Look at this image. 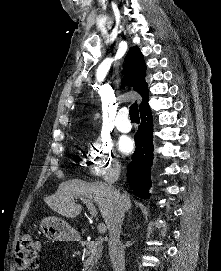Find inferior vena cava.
<instances>
[{
	"label": "inferior vena cava",
	"mask_w": 221,
	"mask_h": 271,
	"mask_svg": "<svg viewBox=\"0 0 221 271\" xmlns=\"http://www.w3.org/2000/svg\"><path fill=\"white\" fill-rule=\"evenodd\" d=\"M117 167H120V165H117ZM107 185L109 189H112L114 195H116L111 221L108 225L110 261L114 271H125V251L120 241V235L125 215L126 195L120 193L119 189H115L114 185H110V183H107Z\"/></svg>",
	"instance_id": "602c4592"
}]
</instances>
